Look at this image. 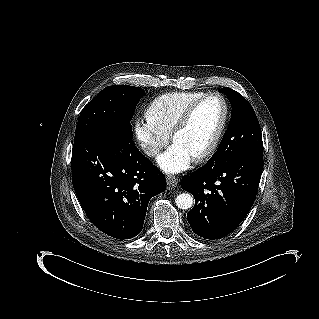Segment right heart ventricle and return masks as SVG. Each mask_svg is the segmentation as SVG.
<instances>
[{
    "instance_id": "e07e8e85",
    "label": "right heart ventricle",
    "mask_w": 319,
    "mask_h": 319,
    "mask_svg": "<svg viewBox=\"0 0 319 319\" xmlns=\"http://www.w3.org/2000/svg\"><path fill=\"white\" fill-rule=\"evenodd\" d=\"M203 96V92L197 91L164 94L150 107L146 115V124L154 130L168 133L183 113Z\"/></svg>"
}]
</instances>
